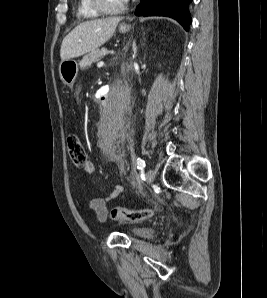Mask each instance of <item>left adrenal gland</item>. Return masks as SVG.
Listing matches in <instances>:
<instances>
[{"label": "left adrenal gland", "instance_id": "obj_1", "mask_svg": "<svg viewBox=\"0 0 267 298\" xmlns=\"http://www.w3.org/2000/svg\"><path fill=\"white\" fill-rule=\"evenodd\" d=\"M133 51H134V55H136V53H137V46H136L135 41L133 42Z\"/></svg>", "mask_w": 267, "mask_h": 298}]
</instances>
